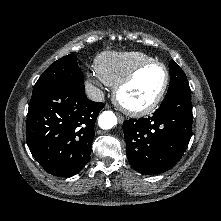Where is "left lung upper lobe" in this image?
I'll use <instances>...</instances> for the list:
<instances>
[{"label": "left lung upper lobe", "instance_id": "5c2ea615", "mask_svg": "<svg viewBox=\"0 0 221 221\" xmlns=\"http://www.w3.org/2000/svg\"><path fill=\"white\" fill-rule=\"evenodd\" d=\"M170 85L166 97H169L176 92L189 89L187 77L182 69L173 61H170ZM165 97V98H166Z\"/></svg>", "mask_w": 221, "mask_h": 221}]
</instances>
